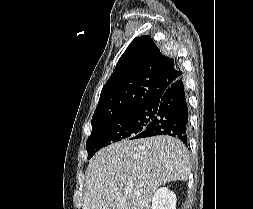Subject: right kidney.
Listing matches in <instances>:
<instances>
[{
  "label": "right kidney",
  "mask_w": 253,
  "mask_h": 209,
  "mask_svg": "<svg viewBox=\"0 0 253 209\" xmlns=\"http://www.w3.org/2000/svg\"><path fill=\"white\" fill-rule=\"evenodd\" d=\"M151 209H176V195L166 187L158 189L152 198Z\"/></svg>",
  "instance_id": "right-kidney-1"
}]
</instances>
